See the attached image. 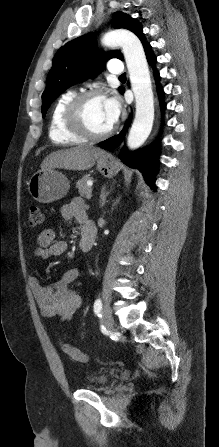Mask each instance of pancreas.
<instances>
[{
	"instance_id": "1",
	"label": "pancreas",
	"mask_w": 219,
	"mask_h": 447,
	"mask_svg": "<svg viewBox=\"0 0 219 447\" xmlns=\"http://www.w3.org/2000/svg\"><path fill=\"white\" fill-rule=\"evenodd\" d=\"M91 179L89 176H84L76 182V188L81 196L86 197L87 194L92 192V188L87 185V181Z\"/></svg>"
}]
</instances>
